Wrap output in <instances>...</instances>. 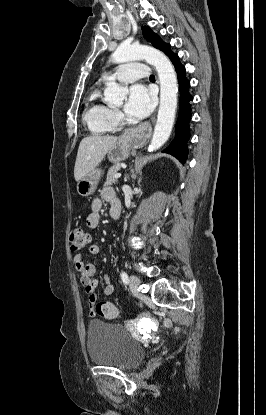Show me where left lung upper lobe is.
Masks as SVG:
<instances>
[{"label": "left lung upper lobe", "instance_id": "1", "mask_svg": "<svg viewBox=\"0 0 266 415\" xmlns=\"http://www.w3.org/2000/svg\"><path fill=\"white\" fill-rule=\"evenodd\" d=\"M142 32L143 35L145 37V39L148 42H151L152 45L159 49L162 50L168 57H170L171 55H173L174 53L170 50V45L164 43L163 41H161V39L159 38V36L155 33H153V31L147 27V26H142Z\"/></svg>", "mask_w": 266, "mask_h": 415}]
</instances>
